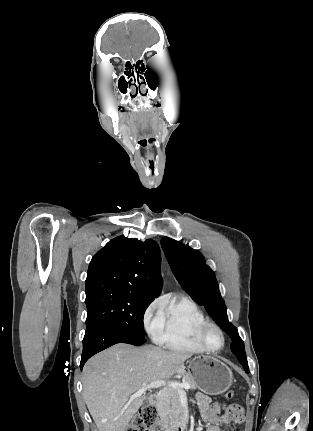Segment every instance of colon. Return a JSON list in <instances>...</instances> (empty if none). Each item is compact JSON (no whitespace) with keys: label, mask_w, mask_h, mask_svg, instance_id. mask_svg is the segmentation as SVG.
<instances>
[{"label":"colon","mask_w":313,"mask_h":431,"mask_svg":"<svg viewBox=\"0 0 313 431\" xmlns=\"http://www.w3.org/2000/svg\"><path fill=\"white\" fill-rule=\"evenodd\" d=\"M225 396L228 399H232L234 397V392L228 390ZM126 431H162L156 408L152 405L142 407L139 412L133 416Z\"/></svg>","instance_id":"colon-1"}]
</instances>
